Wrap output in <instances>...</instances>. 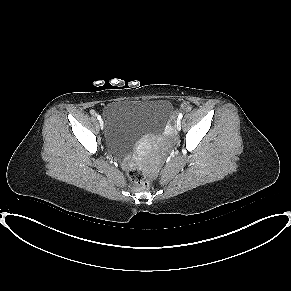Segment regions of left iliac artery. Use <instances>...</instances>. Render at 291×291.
<instances>
[{
  "label": "left iliac artery",
  "instance_id": "obj_1",
  "mask_svg": "<svg viewBox=\"0 0 291 291\" xmlns=\"http://www.w3.org/2000/svg\"><path fill=\"white\" fill-rule=\"evenodd\" d=\"M182 117H183V114H182V113H179V115H178V119L181 120Z\"/></svg>",
  "mask_w": 291,
  "mask_h": 291
}]
</instances>
